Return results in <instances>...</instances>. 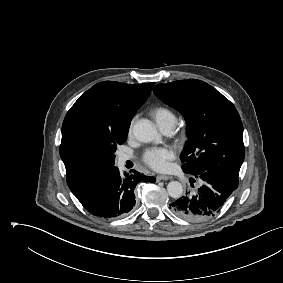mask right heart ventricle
I'll return each instance as SVG.
<instances>
[{
    "mask_svg": "<svg viewBox=\"0 0 283 283\" xmlns=\"http://www.w3.org/2000/svg\"><path fill=\"white\" fill-rule=\"evenodd\" d=\"M151 115L156 121L157 125L160 126L166 122L176 123V117L174 113L166 107H156L151 111Z\"/></svg>",
    "mask_w": 283,
    "mask_h": 283,
    "instance_id": "right-heart-ventricle-1",
    "label": "right heart ventricle"
}]
</instances>
